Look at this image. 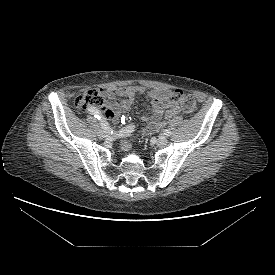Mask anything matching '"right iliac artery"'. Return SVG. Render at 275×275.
<instances>
[{
	"instance_id": "82829eb1",
	"label": "right iliac artery",
	"mask_w": 275,
	"mask_h": 275,
	"mask_svg": "<svg viewBox=\"0 0 275 275\" xmlns=\"http://www.w3.org/2000/svg\"><path fill=\"white\" fill-rule=\"evenodd\" d=\"M88 111L90 114L94 115V117L100 121L102 129H104L106 133L115 134L117 137H127L131 135V133L134 131V125H128L122 128L121 130L114 132L109 128V124L105 121L103 115L96 108L89 107Z\"/></svg>"
}]
</instances>
